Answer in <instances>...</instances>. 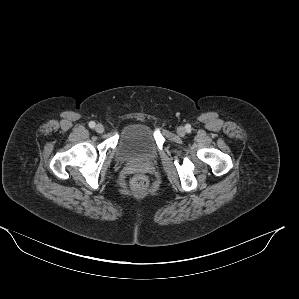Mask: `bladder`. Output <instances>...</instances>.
<instances>
[{"label":"bladder","instance_id":"bladder-1","mask_svg":"<svg viewBox=\"0 0 299 299\" xmlns=\"http://www.w3.org/2000/svg\"><path fill=\"white\" fill-rule=\"evenodd\" d=\"M157 154L156 140L147 123L134 122L120 135L116 147L118 160H152Z\"/></svg>","mask_w":299,"mask_h":299}]
</instances>
